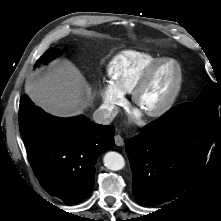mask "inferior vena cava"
Here are the masks:
<instances>
[{
  "mask_svg": "<svg viewBox=\"0 0 221 221\" xmlns=\"http://www.w3.org/2000/svg\"><path fill=\"white\" fill-rule=\"evenodd\" d=\"M117 114L118 107L112 105L101 106L93 113V120L95 123L107 125L113 121Z\"/></svg>",
  "mask_w": 221,
  "mask_h": 221,
  "instance_id": "1",
  "label": "inferior vena cava"
}]
</instances>
